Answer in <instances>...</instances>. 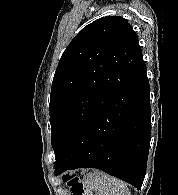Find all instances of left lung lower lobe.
<instances>
[{"label": "left lung lower lobe", "instance_id": "1", "mask_svg": "<svg viewBox=\"0 0 178 195\" xmlns=\"http://www.w3.org/2000/svg\"><path fill=\"white\" fill-rule=\"evenodd\" d=\"M149 91L144 64L93 113L54 163V173L97 168L140 189L151 138Z\"/></svg>", "mask_w": 178, "mask_h": 195}]
</instances>
